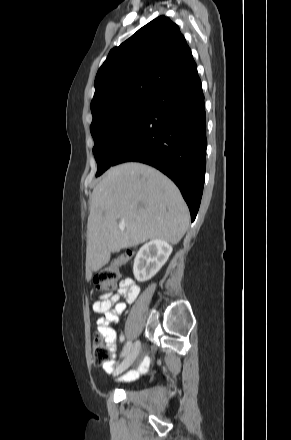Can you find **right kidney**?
Returning <instances> with one entry per match:
<instances>
[{
    "mask_svg": "<svg viewBox=\"0 0 291 440\" xmlns=\"http://www.w3.org/2000/svg\"><path fill=\"white\" fill-rule=\"evenodd\" d=\"M172 246L168 242L154 239L145 243L138 251L133 265V273L137 281L151 279L166 263Z\"/></svg>",
    "mask_w": 291,
    "mask_h": 440,
    "instance_id": "right-kidney-1",
    "label": "right kidney"
}]
</instances>
